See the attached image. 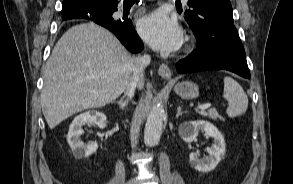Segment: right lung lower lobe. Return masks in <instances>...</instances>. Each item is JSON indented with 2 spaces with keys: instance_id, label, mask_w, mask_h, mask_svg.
Masks as SVG:
<instances>
[{
  "instance_id": "1",
  "label": "right lung lower lobe",
  "mask_w": 293,
  "mask_h": 184,
  "mask_svg": "<svg viewBox=\"0 0 293 184\" xmlns=\"http://www.w3.org/2000/svg\"><path fill=\"white\" fill-rule=\"evenodd\" d=\"M116 10L117 6L114 8L98 7L78 13L68 19L84 18L94 21L113 32L128 50L134 53L140 52L143 49V43L134 29L132 21L130 19L124 21L113 19L112 14Z\"/></svg>"
}]
</instances>
